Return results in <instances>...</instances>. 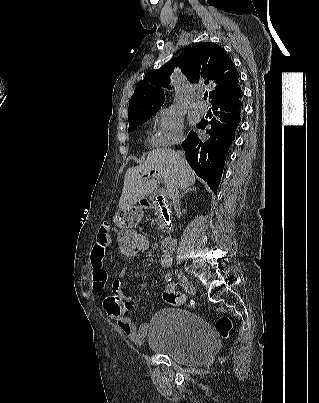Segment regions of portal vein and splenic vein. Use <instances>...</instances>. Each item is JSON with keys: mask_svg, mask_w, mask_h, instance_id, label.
<instances>
[{"mask_svg": "<svg viewBox=\"0 0 319 403\" xmlns=\"http://www.w3.org/2000/svg\"><path fill=\"white\" fill-rule=\"evenodd\" d=\"M158 181L161 182L162 179H161V178H158ZM163 193H165V190H164V189H161V194H163Z\"/></svg>", "mask_w": 319, "mask_h": 403, "instance_id": "18ae733b", "label": "portal vein and splenic vein"}]
</instances>
